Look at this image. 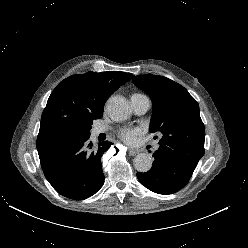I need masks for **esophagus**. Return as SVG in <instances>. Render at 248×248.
Masks as SVG:
<instances>
[{
  "label": "esophagus",
  "instance_id": "1",
  "mask_svg": "<svg viewBox=\"0 0 248 248\" xmlns=\"http://www.w3.org/2000/svg\"><path fill=\"white\" fill-rule=\"evenodd\" d=\"M138 152H139L138 150H135V149H132V148H129V149H128V153H129L131 156L136 155Z\"/></svg>",
  "mask_w": 248,
  "mask_h": 248
}]
</instances>
